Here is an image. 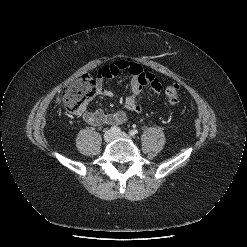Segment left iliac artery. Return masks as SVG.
<instances>
[{
	"mask_svg": "<svg viewBox=\"0 0 247 247\" xmlns=\"http://www.w3.org/2000/svg\"><path fill=\"white\" fill-rule=\"evenodd\" d=\"M138 133V130L137 129H133V130H131L130 132H129V134L131 135V136H134V135H136Z\"/></svg>",
	"mask_w": 247,
	"mask_h": 247,
	"instance_id": "left-iliac-artery-1",
	"label": "left iliac artery"
}]
</instances>
